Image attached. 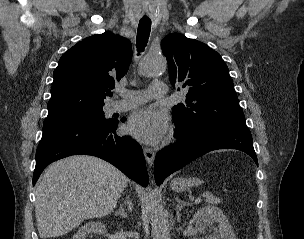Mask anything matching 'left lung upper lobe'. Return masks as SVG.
Masks as SVG:
<instances>
[{"label": "left lung upper lobe", "instance_id": "1", "mask_svg": "<svg viewBox=\"0 0 304 239\" xmlns=\"http://www.w3.org/2000/svg\"><path fill=\"white\" fill-rule=\"evenodd\" d=\"M161 47L171 84L179 83L188 91L186 104L179 103L172 110L178 127L188 135L218 126L246 127L228 67L219 53L176 33L167 35Z\"/></svg>", "mask_w": 304, "mask_h": 239}]
</instances>
